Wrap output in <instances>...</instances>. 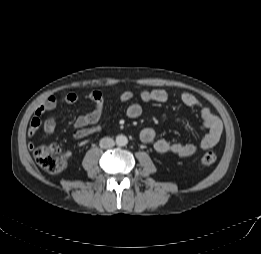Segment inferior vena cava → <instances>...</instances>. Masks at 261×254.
<instances>
[{
  "mask_svg": "<svg viewBox=\"0 0 261 254\" xmlns=\"http://www.w3.org/2000/svg\"><path fill=\"white\" fill-rule=\"evenodd\" d=\"M115 145V142L110 137H104L100 140V147L103 149L112 148Z\"/></svg>",
  "mask_w": 261,
  "mask_h": 254,
  "instance_id": "obj_1",
  "label": "inferior vena cava"
}]
</instances>
